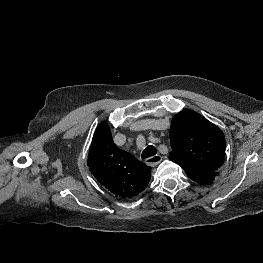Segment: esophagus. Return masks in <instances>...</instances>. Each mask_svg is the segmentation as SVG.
Instances as JSON below:
<instances>
[{
    "instance_id": "obj_1",
    "label": "esophagus",
    "mask_w": 263,
    "mask_h": 263,
    "mask_svg": "<svg viewBox=\"0 0 263 263\" xmlns=\"http://www.w3.org/2000/svg\"><path fill=\"white\" fill-rule=\"evenodd\" d=\"M161 160H162V156L159 155V154H156V155H154V156H151V157L147 158L145 162H146V164H147L148 166L154 167V166H156L158 163H160Z\"/></svg>"
}]
</instances>
